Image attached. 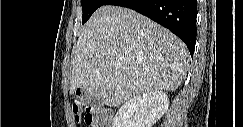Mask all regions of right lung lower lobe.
<instances>
[{
	"label": "right lung lower lobe",
	"instance_id": "obj_1",
	"mask_svg": "<svg viewBox=\"0 0 243 127\" xmlns=\"http://www.w3.org/2000/svg\"><path fill=\"white\" fill-rule=\"evenodd\" d=\"M104 5L130 8L151 18L181 38L193 56L197 0H107Z\"/></svg>",
	"mask_w": 243,
	"mask_h": 127
}]
</instances>
